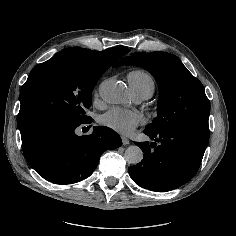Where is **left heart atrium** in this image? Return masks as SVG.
I'll return each instance as SVG.
<instances>
[{
    "label": "left heart atrium",
    "instance_id": "1",
    "mask_svg": "<svg viewBox=\"0 0 236 236\" xmlns=\"http://www.w3.org/2000/svg\"><path fill=\"white\" fill-rule=\"evenodd\" d=\"M100 122L117 133L128 136L141 124L142 116L132 110L113 108L101 116Z\"/></svg>",
    "mask_w": 236,
    "mask_h": 236
}]
</instances>
